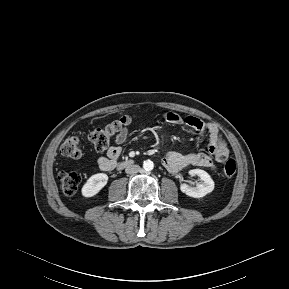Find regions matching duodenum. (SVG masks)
Wrapping results in <instances>:
<instances>
[{"label":"duodenum","mask_w":289,"mask_h":289,"mask_svg":"<svg viewBox=\"0 0 289 289\" xmlns=\"http://www.w3.org/2000/svg\"><path fill=\"white\" fill-rule=\"evenodd\" d=\"M129 164H130L129 161H122V162H120V163L117 164V167H118V168H123V167H125V166H127V165H129Z\"/></svg>","instance_id":"obj_1"}]
</instances>
